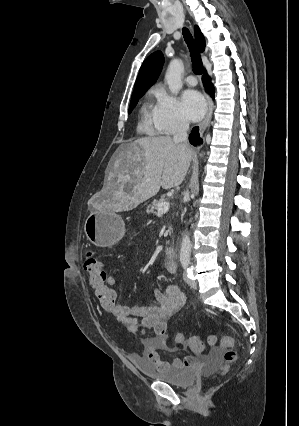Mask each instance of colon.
I'll return each instance as SVG.
<instances>
[{"label": "colon", "mask_w": 299, "mask_h": 426, "mask_svg": "<svg viewBox=\"0 0 299 426\" xmlns=\"http://www.w3.org/2000/svg\"><path fill=\"white\" fill-rule=\"evenodd\" d=\"M84 270L88 273L89 286L94 292V296L98 303L106 310L112 309L117 303V294L113 286L109 285L106 279V272L102 269L101 262L94 256L91 251L86 253ZM219 345L224 348L223 359L226 366L235 362L237 354L234 349V340L229 336L222 337L219 341L215 336L209 337L211 345ZM174 343L177 345L187 344L194 352L203 350V342L200 337L193 336L189 339L185 338L182 332H179L174 337Z\"/></svg>", "instance_id": "colon-1"}]
</instances>
